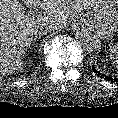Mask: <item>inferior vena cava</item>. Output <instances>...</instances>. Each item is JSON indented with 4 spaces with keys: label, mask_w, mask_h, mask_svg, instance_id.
<instances>
[{
    "label": "inferior vena cava",
    "mask_w": 118,
    "mask_h": 118,
    "mask_svg": "<svg viewBox=\"0 0 118 118\" xmlns=\"http://www.w3.org/2000/svg\"><path fill=\"white\" fill-rule=\"evenodd\" d=\"M59 27H60V24H58L56 21L48 17L42 18L38 22V29L40 30L39 33H42V34L57 30Z\"/></svg>",
    "instance_id": "inferior-vena-cava-1"
}]
</instances>
